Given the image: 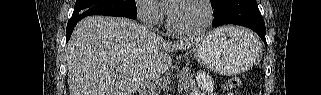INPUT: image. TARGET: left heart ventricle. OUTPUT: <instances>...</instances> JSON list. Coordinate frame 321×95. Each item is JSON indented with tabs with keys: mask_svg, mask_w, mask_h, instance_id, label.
<instances>
[{
	"mask_svg": "<svg viewBox=\"0 0 321 95\" xmlns=\"http://www.w3.org/2000/svg\"><path fill=\"white\" fill-rule=\"evenodd\" d=\"M170 17L175 28L194 30L204 23L205 11L200 3L185 2L175 6L170 12Z\"/></svg>",
	"mask_w": 321,
	"mask_h": 95,
	"instance_id": "b2bd125f",
	"label": "left heart ventricle"
}]
</instances>
